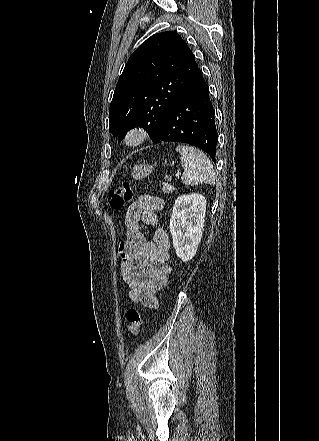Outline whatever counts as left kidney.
Here are the masks:
<instances>
[{"mask_svg": "<svg viewBox=\"0 0 319 441\" xmlns=\"http://www.w3.org/2000/svg\"><path fill=\"white\" fill-rule=\"evenodd\" d=\"M206 199L200 194L182 195L175 200L170 232L177 256L183 261L196 254L202 238Z\"/></svg>", "mask_w": 319, "mask_h": 441, "instance_id": "5707ae66", "label": "left kidney"}]
</instances>
